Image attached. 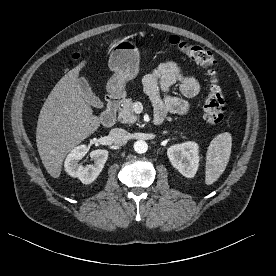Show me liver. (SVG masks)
<instances>
[{"mask_svg":"<svg viewBox=\"0 0 276 276\" xmlns=\"http://www.w3.org/2000/svg\"><path fill=\"white\" fill-rule=\"evenodd\" d=\"M85 61L65 74L43 104L37 122L36 143L42 163L59 178L66 155L100 126V118L82 97L77 84Z\"/></svg>","mask_w":276,"mask_h":276,"instance_id":"obj_1","label":"liver"}]
</instances>
